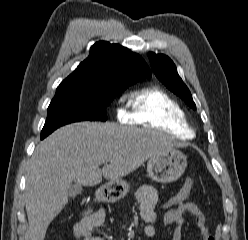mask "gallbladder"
I'll return each instance as SVG.
<instances>
[{
	"label": "gallbladder",
	"instance_id": "gallbladder-1",
	"mask_svg": "<svg viewBox=\"0 0 248 240\" xmlns=\"http://www.w3.org/2000/svg\"><path fill=\"white\" fill-rule=\"evenodd\" d=\"M82 191V186L78 184H74L69 188L68 194L70 197H75L80 194Z\"/></svg>",
	"mask_w": 248,
	"mask_h": 240
}]
</instances>
